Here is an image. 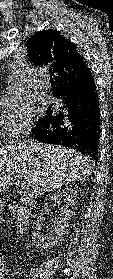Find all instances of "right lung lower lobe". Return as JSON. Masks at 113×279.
I'll list each match as a JSON object with an SVG mask.
<instances>
[{
  "mask_svg": "<svg viewBox=\"0 0 113 279\" xmlns=\"http://www.w3.org/2000/svg\"><path fill=\"white\" fill-rule=\"evenodd\" d=\"M62 111H50L32 132L38 141L67 146L97 160L100 109L96 85L90 71L75 87L58 95Z\"/></svg>",
  "mask_w": 113,
  "mask_h": 279,
  "instance_id": "98d812e1",
  "label": "right lung lower lobe"
}]
</instances>
